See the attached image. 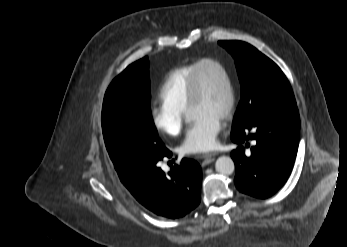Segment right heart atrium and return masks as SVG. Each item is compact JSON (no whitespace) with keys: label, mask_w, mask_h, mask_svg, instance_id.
Here are the masks:
<instances>
[{"label":"right heart atrium","mask_w":347,"mask_h":247,"mask_svg":"<svg viewBox=\"0 0 347 247\" xmlns=\"http://www.w3.org/2000/svg\"><path fill=\"white\" fill-rule=\"evenodd\" d=\"M150 117L155 129L168 136H176L183 125V112L163 103L150 109Z\"/></svg>","instance_id":"d8ad5b80"}]
</instances>
